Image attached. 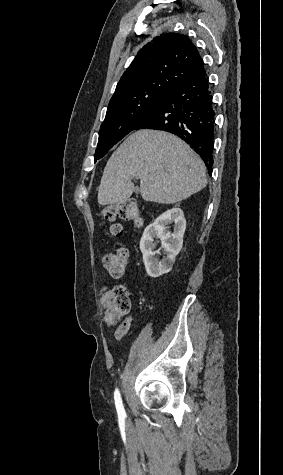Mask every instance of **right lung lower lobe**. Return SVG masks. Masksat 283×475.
<instances>
[{
	"label": "right lung lower lobe",
	"mask_w": 283,
	"mask_h": 475,
	"mask_svg": "<svg viewBox=\"0 0 283 475\" xmlns=\"http://www.w3.org/2000/svg\"><path fill=\"white\" fill-rule=\"evenodd\" d=\"M155 129L184 140L212 173L215 107L207 74L174 87L133 130Z\"/></svg>",
	"instance_id": "obj_1"
}]
</instances>
